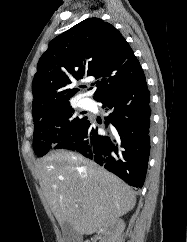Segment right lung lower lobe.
I'll use <instances>...</instances> for the list:
<instances>
[{"label":"right lung lower lobe","instance_id":"right-lung-lower-lobe-1","mask_svg":"<svg viewBox=\"0 0 187 242\" xmlns=\"http://www.w3.org/2000/svg\"><path fill=\"white\" fill-rule=\"evenodd\" d=\"M109 112L107 135L86 120L71 136L54 147L81 153L123 179L142 188L150 153V92L146 78L97 100Z\"/></svg>","mask_w":187,"mask_h":242}]
</instances>
